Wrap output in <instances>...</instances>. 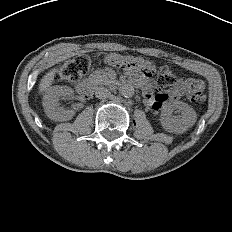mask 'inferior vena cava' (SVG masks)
Instances as JSON below:
<instances>
[{"instance_id": "obj_1", "label": "inferior vena cava", "mask_w": 232, "mask_h": 232, "mask_svg": "<svg viewBox=\"0 0 232 232\" xmlns=\"http://www.w3.org/2000/svg\"><path fill=\"white\" fill-rule=\"evenodd\" d=\"M95 96L98 99H105V98H108L110 96V91L103 86H99L95 90Z\"/></svg>"}]
</instances>
